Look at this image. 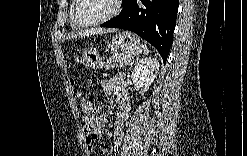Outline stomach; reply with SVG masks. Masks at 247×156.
Segmentation results:
<instances>
[{"mask_svg": "<svg viewBox=\"0 0 247 156\" xmlns=\"http://www.w3.org/2000/svg\"><path fill=\"white\" fill-rule=\"evenodd\" d=\"M110 46L120 49L123 53L137 56L142 53L143 47L137 35L122 31L112 38ZM82 60L85 66L91 69H100L104 66L103 58L94 48H86L82 53Z\"/></svg>", "mask_w": 247, "mask_h": 156, "instance_id": "obj_1", "label": "stomach"}]
</instances>
